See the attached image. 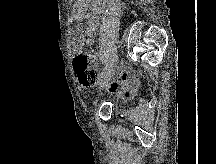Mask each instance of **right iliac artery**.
I'll return each mask as SVG.
<instances>
[{"label": "right iliac artery", "instance_id": "1", "mask_svg": "<svg viewBox=\"0 0 216 164\" xmlns=\"http://www.w3.org/2000/svg\"><path fill=\"white\" fill-rule=\"evenodd\" d=\"M112 61L108 62V67L103 68V72H101V77L99 78L101 81L104 79L103 77H106V73H108V70L113 68V62Z\"/></svg>", "mask_w": 216, "mask_h": 164}]
</instances>
